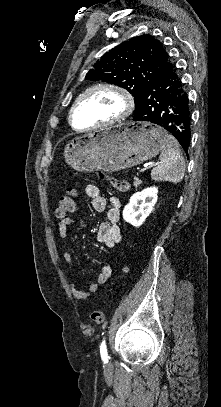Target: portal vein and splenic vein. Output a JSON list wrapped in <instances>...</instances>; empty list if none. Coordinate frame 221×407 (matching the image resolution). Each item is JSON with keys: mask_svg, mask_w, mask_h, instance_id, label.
I'll return each mask as SVG.
<instances>
[{"mask_svg": "<svg viewBox=\"0 0 221 407\" xmlns=\"http://www.w3.org/2000/svg\"><path fill=\"white\" fill-rule=\"evenodd\" d=\"M158 163H156L155 165H157ZM148 169V166H144L143 168H141L140 172H145Z\"/></svg>", "mask_w": 221, "mask_h": 407, "instance_id": "1", "label": "portal vein and splenic vein"}]
</instances>
